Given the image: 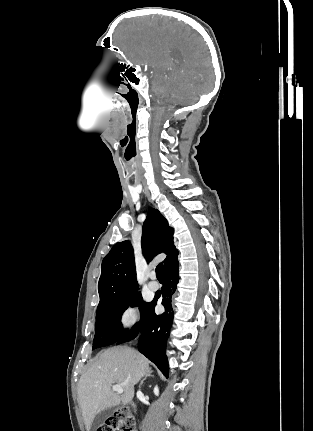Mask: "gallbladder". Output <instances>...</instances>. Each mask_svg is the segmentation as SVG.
<instances>
[{"mask_svg": "<svg viewBox=\"0 0 313 431\" xmlns=\"http://www.w3.org/2000/svg\"><path fill=\"white\" fill-rule=\"evenodd\" d=\"M106 416H107L106 412L98 414L95 418V424L97 425L101 424Z\"/></svg>", "mask_w": 313, "mask_h": 431, "instance_id": "gallbladder-1", "label": "gallbladder"}]
</instances>
